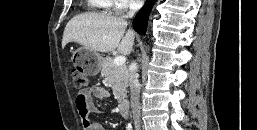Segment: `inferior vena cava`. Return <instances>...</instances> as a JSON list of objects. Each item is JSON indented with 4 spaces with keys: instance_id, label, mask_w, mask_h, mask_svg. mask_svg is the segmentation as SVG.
<instances>
[{
    "instance_id": "obj_1",
    "label": "inferior vena cava",
    "mask_w": 257,
    "mask_h": 130,
    "mask_svg": "<svg viewBox=\"0 0 257 130\" xmlns=\"http://www.w3.org/2000/svg\"><path fill=\"white\" fill-rule=\"evenodd\" d=\"M142 0H132L130 4V10L125 16V18H131L134 16L135 12L142 5ZM129 85H130V95H131V108L134 120L135 130H140V83L137 76V63L132 62L129 69Z\"/></svg>"
}]
</instances>
